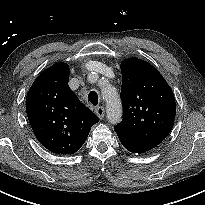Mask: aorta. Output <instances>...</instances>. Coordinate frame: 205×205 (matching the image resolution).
I'll return each mask as SVG.
<instances>
[{"label": "aorta", "instance_id": "aorta-1", "mask_svg": "<svg viewBox=\"0 0 205 205\" xmlns=\"http://www.w3.org/2000/svg\"><path fill=\"white\" fill-rule=\"evenodd\" d=\"M103 95L106 98V114L108 121L112 124L119 123L122 117V106L117 91L112 87H107L103 90Z\"/></svg>", "mask_w": 205, "mask_h": 205}]
</instances>
